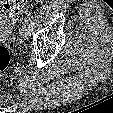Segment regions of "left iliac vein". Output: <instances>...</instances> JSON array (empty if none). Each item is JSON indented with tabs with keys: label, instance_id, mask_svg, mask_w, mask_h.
<instances>
[{
	"label": "left iliac vein",
	"instance_id": "left-iliac-vein-1",
	"mask_svg": "<svg viewBox=\"0 0 113 113\" xmlns=\"http://www.w3.org/2000/svg\"><path fill=\"white\" fill-rule=\"evenodd\" d=\"M28 31H29V27L28 26H22V28L20 29V32H19V40L21 42L25 41L28 39Z\"/></svg>",
	"mask_w": 113,
	"mask_h": 113
}]
</instances>
